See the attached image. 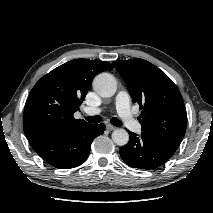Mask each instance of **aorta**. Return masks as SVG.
<instances>
[{"label": "aorta", "mask_w": 213, "mask_h": 213, "mask_svg": "<svg viewBox=\"0 0 213 213\" xmlns=\"http://www.w3.org/2000/svg\"><path fill=\"white\" fill-rule=\"evenodd\" d=\"M94 90L102 97H112L117 89L114 76L109 73L97 75L93 81ZM112 140L118 146H124L129 141V134L125 129H116L112 133Z\"/></svg>", "instance_id": "762f6f07"}]
</instances>
